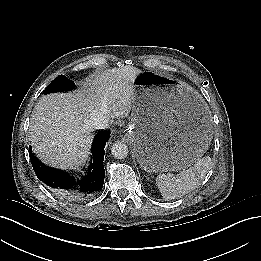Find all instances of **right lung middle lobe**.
Here are the masks:
<instances>
[{"instance_id":"1","label":"right lung middle lobe","mask_w":261,"mask_h":261,"mask_svg":"<svg viewBox=\"0 0 261 261\" xmlns=\"http://www.w3.org/2000/svg\"><path fill=\"white\" fill-rule=\"evenodd\" d=\"M74 87V82L66 78L64 75H60L55 78L48 87L44 90V94L58 91H66Z\"/></svg>"}]
</instances>
